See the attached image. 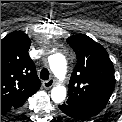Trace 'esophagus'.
<instances>
[{
  "label": "esophagus",
  "mask_w": 122,
  "mask_h": 122,
  "mask_svg": "<svg viewBox=\"0 0 122 122\" xmlns=\"http://www.w3.org/2000/svg\"><path fill=\"white\" fill-rule=\"evenodd\" d=\"M53 85H54V80L53 79H49V80L43 82V86L46 89L51 88Z\"/></svg>",
  "instance_id": "esophagus-1"
}]
</instances>
